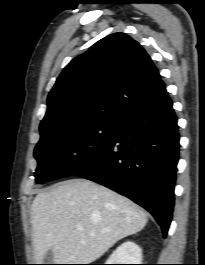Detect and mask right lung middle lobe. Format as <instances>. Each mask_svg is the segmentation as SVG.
Wrapping results in <instances>:
<instances>
[{"instance_id":"1","label":"right lung middle lobe","mask_w":205,"mask_h":265,"mask_svg":"<svg viewBox=\"0 0 205 265\" xmlns=\"http://www.w3.org/2000/svg\"><path fill=\"white\" fill-rule=\"evenodd\" d=\"M118 123L95 122L66 132H40L35 147L36 183L74 175L87 166L115 137Z\"/></svg>"}]
</instances>
